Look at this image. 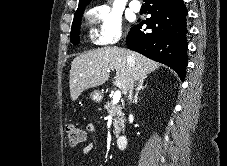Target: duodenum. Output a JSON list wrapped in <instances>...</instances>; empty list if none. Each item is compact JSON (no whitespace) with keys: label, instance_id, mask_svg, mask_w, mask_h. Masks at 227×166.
<instances>
[{"label":"duodenum","instance_id":"1","mask_svg":"<svg viewBox=\"0 0 227 166\" xmlns=\"http://www.w3.org/2000/svg\"><path fill=\"white\" fill-rule=\"evenodd\" d=\"M128 138L125 134H120L116 139V146L119 150H124L127 146Z\"/></svg>","mask_w":227,"mask_h":166}]
</instances>
